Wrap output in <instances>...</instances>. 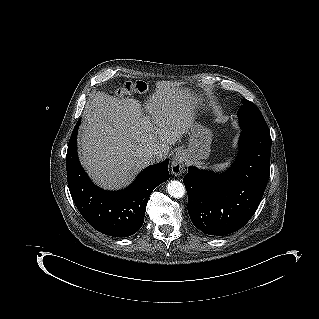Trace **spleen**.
<instances>
[{
  "label": "spleen",
  "instance_id": "obj_1",
  "mask_svg": "<svg viewBox=\"0 0 319 319\" xmlns=\"http://www.w3.org/2000/svg\"><path fill=\"white\" fill-rule=\"evenodd\" d=\"M226 164H218L217 166H215V167H217V168H219V169H221V168H223L224 166H225Z\"/></svg>",
  "mask_w": 319,
  "mask_h": 319
}]
</instances>
